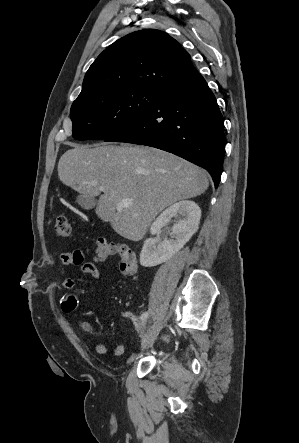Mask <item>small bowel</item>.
<instances>
[{"mask_svg":"<svg viewBox=\"0 0 299 443\" xmlns=\"http://www.w3.org/2000/svg\"><path fill=\"white\" fill-rule=\"evenodd\" d=\"M60 262L63 266L77 265L81 267V271L84 274L92 276L94 279L99 280L101 277L98 267L92 263L85 261V254L82 250H75L73 252H65L60 255ZM76 285V281L73 278L67 277L62 281V287L66 290H72ZM77 306L76 297L70 294L63 302V309L66 312L73 311ZM123 317L132 320L135 331L138 336H141V330L139 326L138 318L131 312H124ZM82 328L87 331H92V326L89 323L83 322ZM95 351L99 355H104L108 352L106 343L99 341L95 344ZM125 353V346L122 343H117L113 348V354L115 356H122Z\"/></svg>","mask_w":299,"mask_h":443,"instance_id":"1","label":"small bowel"}]
</instances>
